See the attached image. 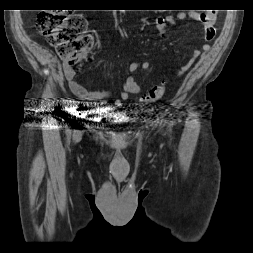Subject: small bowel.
<instances>
[{
  "label": "small bowel",
  "mask_w": 253,
  "mask_h": 253,
  "mask_svg": "<svg viewBox=\"0 0 253 253\" xmlns=\"http://www.w3.org/2000/svg\"><path fill=\"white\" fill-rule=\"evenodd\" d=\"M191 17L202 27L204 30V37L207 42L212 41L215 38L216 32L214 28L215 22V14L208 11L205 13H197L192 12ZM187 15L185 13H180L177 16V19L180 21L186 20ZM176 24V19L173 17H165V18H158L155 21L156 28L158 33L161 37H164L167 33V25ZM210 48L209 44H204L202 49L204 51H208ZM201 52L199 50H195L193 53L192 58L189 62L182 66L178 71V76L184 74L196 61L198 57H200ZM149 68V63L145 61L133 62L129 65V72L130 75L126 77L122 90L120 91V97L115 100L114 106L120 107L122 106L123 102L126 101L131 94L137 95L141 93V87L138 84L136 78L132 75L137 70H147ZM63 72L66 80L69 83L71 91L80 99L87 100V101H100L104 102L110 98L109 91H91L83 87L78 81L76 80L75 76L76 73L74 69L67 64L66 62L63 65Z\"/></svg>",
  "instance_id": "c3829d8e"
}]
</instances>
